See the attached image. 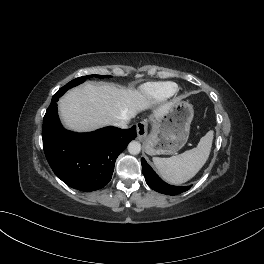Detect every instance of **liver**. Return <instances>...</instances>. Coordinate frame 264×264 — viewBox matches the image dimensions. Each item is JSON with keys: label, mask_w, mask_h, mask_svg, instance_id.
Returning a JSON list of instances; mask_svg holds the SVG:
<instances>
[{"label": "liver", "mask_w": 264, "mask_h": 264, "mask_svg": "<svg viewBox=\"0 0 264 264\" xmlns=\"http://www.w3.org/2000/svg\"><path fill=\"white\" fill-rule=\"evenodd\" d=\"M151 104L142 91L88 82L68 91L59 100V111L67 129L89 132L121 120L129 121ZM172 105L173 102L163 104L153 112L154 117L160 118Z\"/></svg>", "instance_id": "6515ba94"}]
</instances>
